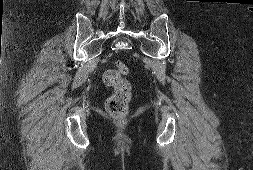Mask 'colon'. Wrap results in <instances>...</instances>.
I'll return each mask as SVG.
<instances>
[{
    "label": "colon",
    "instance_id": "colon-1",
    "mask_svg": "<svg viewBox=\"0 0 253 170\" xmlns=\"http://www.w3.org/2000/svg\"><path fill=\"white\" fill-rule=\"evenodd\" d=\"M128 67L121 61L115 62V67L108 70L104 76V83L115 88V93L107 100L106 110L115 119H122L128 109L131 97L130 84L125 80Z\"/></svg>",
    "mask_w": 253,
    "mask_h": 170
}]
</instances>
